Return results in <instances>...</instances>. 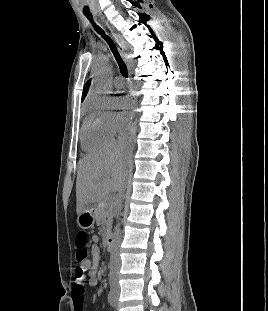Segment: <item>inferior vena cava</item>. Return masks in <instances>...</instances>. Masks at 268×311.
<instances>
[{"mask_svg": "<svg viewBox=\"0 0 268 311\" xmlns=\"http://www.w3.org/2000/svg\"><path fill=\"white\" fill-rule=\"evenodd\" d=\"M121 144V149H123L124 152L128 151V148L126 144L120 143ZM124 196V188L118 193V199L121 201L122 197ZM121 243V233H120V228L119 224L116 225L115 232H114V248L111 252L110 255V282L111 285L117 286V278L119 274V266H120V258H119V253H118V248Z\"/></svg>", "mask_w": 268, "mask_h": 311, "instance_id": "obj_1", "label": "inferior vena cava"}]
</instances>
